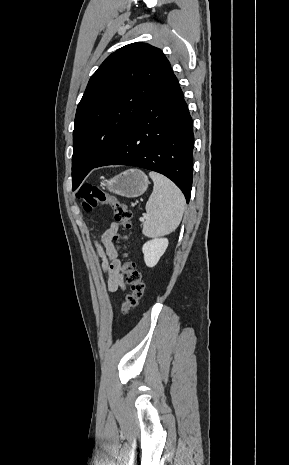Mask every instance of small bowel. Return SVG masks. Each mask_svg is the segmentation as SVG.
<instances>
[{"mask_svg":"<svg viewBox=\"0 0 289 465\" xmlns=\"http://www.w3.org/2000/svg\"><path fill=\"white\" fill-rule=\"evenodd\" d=\"M117 225L112 224L103 233L101 243H95L97 254L102 259V268L106 276L107 288L109 292H116L124 289L123 274L121 264L117 259V252L113 243V236L117 232Z\"/></svg>","mask_w":289,"mask_h":465,"instance_id":"small-bowel-1","label":"small bowel"}]
</instances>
